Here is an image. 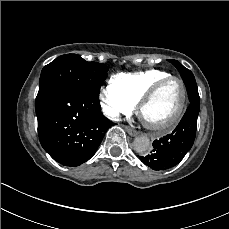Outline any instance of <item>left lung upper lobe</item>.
I'll list each match as a JSON object with an SVG mask.
<instances>
[{"label": "left lung upper lobe", "instance_id": "5c2ea615", "mask_svg": "<svg viewBox=\"0 0 229 229\" xmlns=\"http://www.w3.org/2000/svg\"><path fill=\"white\" fill-rule=\"evenodd\" d=\"M168 61L171 62L178 69V71L181 74L182 79H186V78L193 76L192 72L190 70H188L187 68H185L178 61L170 60V59H168Z\"/></svg>", "mask_w": 229, "mask_h": 229}]
</instances>
